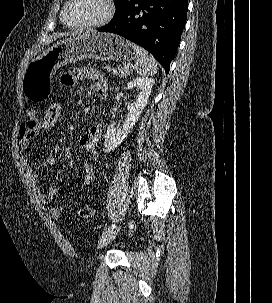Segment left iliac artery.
<instances>
[{"instance_id":"44dca946","label":"left iliac artery","mask_w":272,"mask_h":303,"mask_svg":"<svg viewBox=\"0 0 272 303\" xmlns=\"http://www.w3.org/2000/svg\"><path fill=\"white\" fill-rule=\"evenodd\" d=\"M114 228H115V224H112L111 226L106 227L105 230H104V232H103V235H105L107 232H109L110 230H112Z\"/></svg>"}]
</instances>
